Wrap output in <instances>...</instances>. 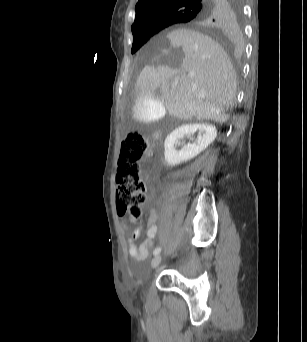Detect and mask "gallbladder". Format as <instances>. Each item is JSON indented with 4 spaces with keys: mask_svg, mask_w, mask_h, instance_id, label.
Masks as SVG:
<instances>
[{
    "mask_svg": "<svg viewBox=\"0 0 307 342\" xmlns=\"http://www.w3.org/2000/svg\"><path fill=\"white\" fill-rule=\"evenodd\" d=\"M134 100V116L139 123H156V118L165 117L161 99H154L153 95H135Z\"/></svg>",
    "mask_w": 307,
    "mask_h": 342,
    "instance_id": "gallbladder-1",
    "label": "gallbladder"
}]
</instances>
